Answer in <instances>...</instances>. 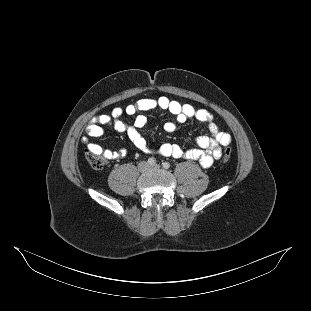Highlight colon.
Returning <instances> with one entry per match:
<instances>
[{"label":"colon","mask_w":311,"mask_h":311,"mask_svg":"<svg viewBox=\"0 0 311 311\" xmlns=\"http://www.w3.org/2000/svg\"><path fill=\"white\" fill-rule=\"evenodd\" d=\"M232 155V150L231 148L227 147L224 149L223 154H222V160L224 162L228 161ZM86 159L90 166L94 169H101L105 166L107 162V158L105 157L104 154L87 150L86 152Z\"/></svg>","instance_id":"5ec220e1"}]
</instances>
